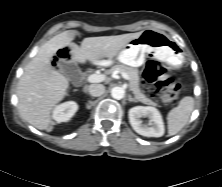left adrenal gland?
I'll return each instance as SVG.
<instances>
[{"mask_svg": "<svg viewBox=\"0 0 222 187\" xmlns=\"http://www.w3.org/2000/svg\"><path fill=\"white\" fill-rule=\"evenodd\" d=\"M128 101H130V102H137V100L132 98L131 95L128 96Z\"/></svg>", "mask_w": 222, "mask_h": 187, "instance_id": "left-adrenal-gland-1", "label": "left adrenal gland"}]
</instances>
